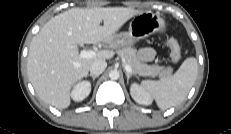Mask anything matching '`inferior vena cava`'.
I'll list each match as a JSON object with an SVG mask.
<instances>
[{
	"label": "inferior vena cava",
	"mask_w": 231,
	"mask_h": 134,
	"mask_svg": "<svg viewBox=\"0 0 231 134\" xmlns=\"http://www.w3.org/2000/svg\"><path fill=\"white\" fill-rule=\"evenodd\" d=\"M107 67L105 60H96L90 66V73L99 76Z\"/></svg>",
	"instance_id": "obj_1"
}]
</instances>
